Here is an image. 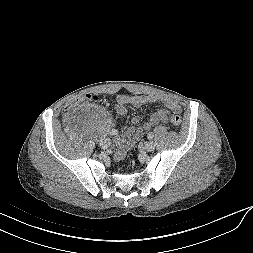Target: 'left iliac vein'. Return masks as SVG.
I'll list each match as a JSON object with an SVG mask.
<instances>
[{
  "label": "left iliac vein",
  "instance_id": "obj_1",
  "mask_svg": "<svg viewBox=\"0 0 253 253\" xmlns=\"http://www.w3.org/2000/svg\"><path fill=\"white\" fill-rule=\"evenodd\" d=\"M144 149L148 152H151L155 149V143L153 141H149L145 144Z\"/></svg>",
  "mask_w": 253,
  "mask_h": 253
}]
</instances>
